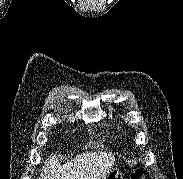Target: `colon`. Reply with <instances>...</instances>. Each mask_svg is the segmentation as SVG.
Returning <instances> with one entry per match:
<instances>
[{
    "label": "colon",
    "mask_w": 183,
    "mask_h": 179,
    "mask_svg": "<svg viewBox=\"0 0 183 179\" xmlns=\"http://www.w3.org/2000/svg\"><path fill=\"white\" fill-rule=\"evenodd\" d=\"M143 175V172L141 169H137L135 170V172H133L132 174V179H138Z\"/></svg>",
    "instance_id": "1"
}]
</instances>
